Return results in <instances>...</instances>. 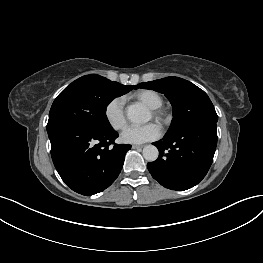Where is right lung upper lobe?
<instances>
[{"label": "right lung upper lobe", "instance_id": "cb5924a9", "mask_svg": "<svg viewBox=\"0 0 263 263\" xmlns=\"http://www.w3.org/2000/svg\"><path fill=\"white\" fill-rule=\"evenodd\" d=\"M122 85V84H121ZM124 88L128 89L129 91L132 90L135 85H122Z\"/></svg>", "mask_w": 263, "mask_h": 263}]
</instances>
